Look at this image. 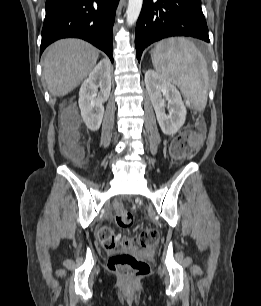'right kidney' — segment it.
Segmentation results:
<instances>
[{
	"label": "right kidney",
	"mask_w": 261,
	"mask_h": 306,
	"mask_svg": "<svg viewBox=\"0 0 261 306\" xmlns=\"http://www.w3.org/2000/svg\"><path fill=\"white\" fill-rule=\"evenodd\" d=\"M110 90V63L103 59L85 79L79 91V108L88 129L97 131L100 128L104 115L103 103L109 98Z\"/></svg>",
	"instance_id": "right-kidney-1"
}]
</instances>
